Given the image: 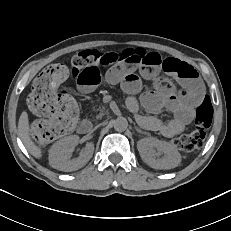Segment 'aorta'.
<instances>
[{"mask_svg":"<svg viewBox=\"0 0 231 231\" xmlns=\"http://www.w3.org/2000/svg\"><path fill=\"white\" fill-rule=\"evenodd\" d=\"M114 129L119 132H123L128 127V121L124 117H118L113 122Z\"/></svg>","mask_w":231,"mask_h":231,"instance_id":"obj_1","label":"aorta"}]
</instances>
